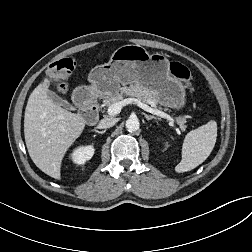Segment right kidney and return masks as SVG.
Instances as JSON below:
<instances>
[{
	"mask_svg": "<svg viewBox=\"0 0 252 252\" xmlns=\"http://www.w3.org/2000/svg\"><path fill=\"white\" fill-rule=\"evenodd\" d=\"M93 154V146H82L73 151L71 159L74 163L83 165L86 161L92 158Z\"/></svg>",
	"mask_w": 252,
	"mask_h": 252,
	"instance_id": "obj_1",
	"label": "right kidney"
}]
</instances>
